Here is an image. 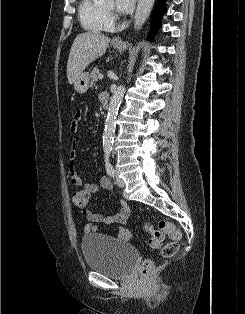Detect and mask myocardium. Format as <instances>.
Returning <instances> with one entry per match:
<instances>
[{
  "instance_id": "myocardium-1",
  "label": "myocardium",
  "mask_w": 245,
  "mask_h": 314,
  "mask_svg": "<svg viewBox=\"0 0 245 314\" xmlns=\"http://www.w3.org/2000/svg\"><path fill=\"white\" fill-rule=\"evenodd\" d=\"M103 10L105 11L108 19H112L114 18V12H113V9H108L106 7L103 6Z\"/></svg>"
}]
</instances>
